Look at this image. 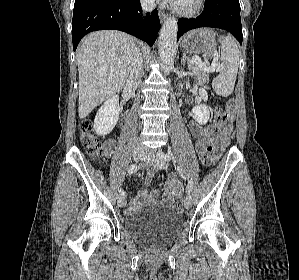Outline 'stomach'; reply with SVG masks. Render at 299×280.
<instances>
[{
    "label": "stomach",
    "mask_w": 299,
    "mask_h": 280,
    "mask_svg": "<svg viewBox=\"0 0 299 280\" xmlns=\"http://www.w3.org/2000/svg\"><path fill=\"white\" fill-rule=\"evenodd\" d=\"M182 45L189 53L210 56L216 50L217 43L211 31L208 29H196L184 36Z\"/></svg>",
    "instance_id": "0dacf381"
}]
</instances>
